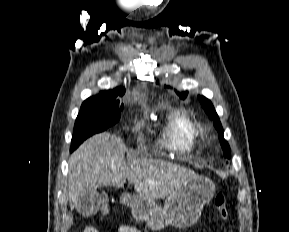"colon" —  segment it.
Segmentation results:
<instances>
[{"label":"colon","mask_w":289,"mask_h":232,"mask_svg":"<svg viewBox=\"0 0 289 232\" xmlns=\"http://www.w3.org/2000/svg\"><path fill=\"white\" fill-rule=\"evenodd\" d=\"M214 205L221 218L225 221L229 220V213L227 209L226 197L222 193H218L214 197ZM100 211L102 214L109 212V204L107 200H103L101 203Z\"/></svg>","instance_id":"5ec220e1"}]
</instances>
